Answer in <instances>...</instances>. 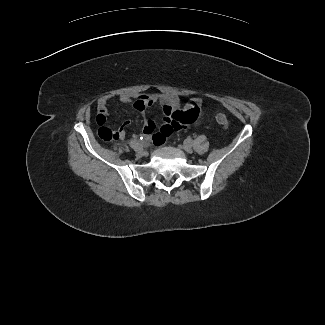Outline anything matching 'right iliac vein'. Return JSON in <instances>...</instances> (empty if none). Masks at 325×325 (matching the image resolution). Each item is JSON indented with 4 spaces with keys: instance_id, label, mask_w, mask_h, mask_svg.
<instances>
[{
    "instance_id": "obj_1",
    "label": "right iliac vein",
    "mask_w": 325,
    "mask_h": 325,
    "mask_svg": "<svg viewBox=\"0 0 325 325\" xmlns=\"http://www.w3.org/2000/svg\"><path fill=\"white\" fill-rule=\"evenodd\" d=\"M135 151H136V156H138V157H142L145 155V152L143 151V148L140 145L137 149H135Z\"/></svg>"
}]
</instances>
